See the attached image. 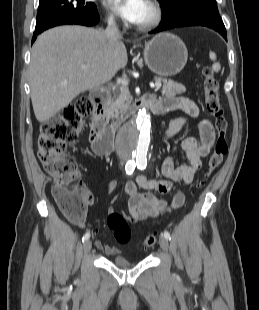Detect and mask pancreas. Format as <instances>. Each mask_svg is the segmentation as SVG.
<instances>
[{
	"instance_id": "1",
	"label": "pancreas",
	"mask_w": 259,
	"mask_h": 310,
	"mask_svg": "<svg viewBox=\"0 0 259 310\" xmlns=\"http://www.w3.org/2000/svg\"><path fill=\"white\" fill-rule=\"evenodd\" d=\"M156 82H163L161 93L166 97H175L178 94H182L186 91V88L180 84L171 80L162 78H155ZM132 102V97L127 88L122 87L119 95H117L112 101L109 102L108 114L119 120H124L128 117V109Z\"/></svg>"
}]
</instances>
